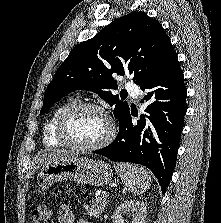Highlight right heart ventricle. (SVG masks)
<instances>
[{"mask_svg":"<svg viewBox=\"0 0 221 223\" xmlns=\"http://www.w3.org/2000/svg\"><path fill=\"white\" fill-rule=\"evenodd\" d=\"M78 99L75 98H70L68 100H66L65 102L61 103L60 105H58L53 113L51 114V116L49 117V119L47 120V122L44 125V129H43V140H44V144L46 146H60L61 142L57 140L56 136H55V129H56V125H57V121L61 115V113L71 104L77 103Z\"/></svg>","mask_w":221,"mask_h":223,"instance_id":"e07e8e85","label":"right heart ventricle"}]
</instances>
